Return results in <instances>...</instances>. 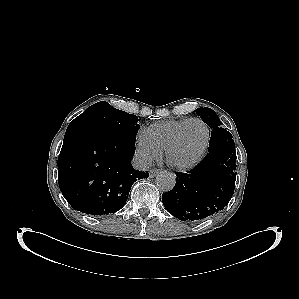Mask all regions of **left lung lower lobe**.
<instances>
[{"instance_id": "1", "label": "left lung lower lobe", "mask_w": 299, "mask_h": 299, "mask_svg": "<svg viewBox=\"0 0 299 299\" xmlns=\"http://www.w3.org/2000/svg\"><path fill=\"white\" fill-rule=\"evenodd\" d=\"M235 147L222 145L187 173H176L175 187L162 194L166 210L181 221L204 219L229 203L235 189Z\"/></svg>"}]
</instances>
